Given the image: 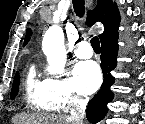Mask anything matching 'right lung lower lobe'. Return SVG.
Here are the masks:
<instances>
[{"mask_svg":"<svg viewBox=\"0 0 145 124\" xmlns=\"http://www.w3.org/2000/svg\"><path fill=\"white\" fill-rule=\"evenodd\" d=\"M118 36V31H116L101 39V68L104 82L101 89L90 100L87 106L86 116L91 123H97L104 118L108 111L107 104L111 102L114 97L110 87L114 84L115 79L110 71L117 65Z\"/></svg>","mask_w":145,"mask_h":124,"instance_id":"right-lung-lower-lobe-1","label":"right lung lower lobe"}]
</instances>
